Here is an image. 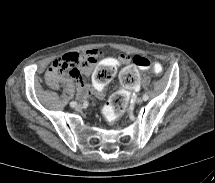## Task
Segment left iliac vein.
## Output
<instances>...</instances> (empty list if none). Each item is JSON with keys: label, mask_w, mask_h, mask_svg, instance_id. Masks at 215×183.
<instances>
[{"label": "left iliac vein", "mask_w": 215, "mask_h": 183, "mask_svg": "<svg viewBox=\"0 0 215 183\" xmlns=\"http://www.w3.org/2000/svg\"><path fill=\"white\" fill-rule=\"evenodd\" d=\"M142 102H143V99L140 97L135 99L136 104H141Z\"/></svg>", "instance_id": "1"}]
</instances>
